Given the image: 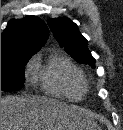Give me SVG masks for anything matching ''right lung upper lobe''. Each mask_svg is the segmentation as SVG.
I'll list each match as a JSON object with an SVG mask.
<instances>
[{
	"label": "right lung upper lobe",
	"mask_w": 123,
	"mask_h": 130,
	"mask_svg": "<svg viewBox=\"0 0 123 130\" xmlns=\"http://www.w3.org/2000/svg\"><path fill=\"white\" fill-rule=\"evenodd\" d=\"M48 35V27L38 17L12 19L1 34V58L34 54L45 44Z\"/></svg>",
	"instance_id": "1"
}]
</instances>
